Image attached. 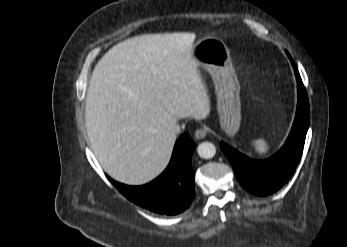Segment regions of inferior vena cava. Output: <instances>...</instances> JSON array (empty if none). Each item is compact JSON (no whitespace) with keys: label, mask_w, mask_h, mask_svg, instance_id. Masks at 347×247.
I'll list each match as a JSON object with an SVG mask.
<instances>
[{"label":"inferior vena cava","mask_w":347,"mask_h":247,"mask_svg":"<svg viewBox=\"0 0 347 247\" xmlns=\"http://www.w3.org/2000/svg\"><path fill=\"white\" fill-rule=\"evenodd\" d=\"M169 131L172 133V134H178L180 132V127L178 124H172L169 126Z\"/></svg>","instance_id":"602c4592"}]
</instances>
